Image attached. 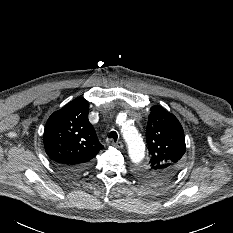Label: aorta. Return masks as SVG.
Listing matches in <instances>:
<instances>
[{
    "label": "aorta",
    "instance_id": "762f6f07",
    "mask_svg": "<svg viewBox=\"0 0 233 233\" xmlns=\"http://www.w3.org/2000/svg\"><path fill=\"white\" fill-rule=\"evenodd\" d=\"M117 122L122 126V133L128 145L129 156L134 163H139L145 156V146L137 129L125 121L123 115L117 117Z\"/></svg>",
    "mask_w": 233,
    "mask_h": 233
}]
</instances>
